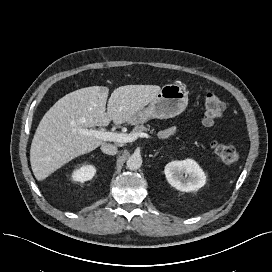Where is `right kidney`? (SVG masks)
<instances>
[{
	"label": "right kidney",
	"instance_id": "right-kidney-1",
	"mask_svg": "<svg viewBox=\"0 0 272 272\" xmlns=\"http://www.w3.org/2000/svg\"><path fill=\"white\" fill-rule=\"evenodd\" d=\"M96 173V168L93 165H83L72 173L73 181L85 182L91 180Z\"/></svg>",
	"mask_w": 272,
	"mask_h": 272
}]
</instances>
